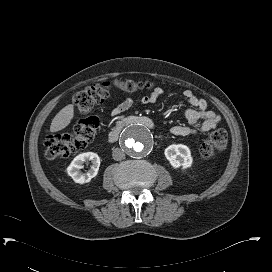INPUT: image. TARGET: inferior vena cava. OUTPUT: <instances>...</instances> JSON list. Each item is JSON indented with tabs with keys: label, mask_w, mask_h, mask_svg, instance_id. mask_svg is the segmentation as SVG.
<instances>
[{
	"label": "inferior vena cava",
	"mask_w": 272,
	"mask_h": 272,
	"mask_svg": "<svg viewBox=\"0 0 272 272\" xmlns=\"http://www.w3.org/2000/svg\"><path fill=\"white\" fill-rule=\"evenodd\" d=\"M112 157L116 161H120L125 158V153L120 148H115L112 152Z\"/></svg>",
	"instance_id": "inferior-vena-cava-1"
}]
</instances>
